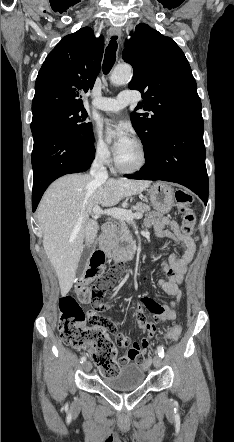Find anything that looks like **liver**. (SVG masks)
Returning a JSON list of instances; mask_svg holds the SVG:
<instances>
[{
	"label": "liver",
	"instance_id": "1",
	"mask_svg": "<svg viewBox=\"0 0 234 442\" xmlns=\"http://www.w3.org/2000/svg\"><path fill=\"white\" fill-rule=\"evenodd\" d=\"M150 183L70 174L49 186L38 206L37 217L43 247L56 271L62 296L73 286L83 249L93 244L97 236V223L90 219L93 207L116 205L125 197L141 193Z\"/></svg>",
	"mask_w": 234,
	"mask_h": 442
}]
</instances>
